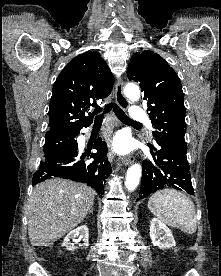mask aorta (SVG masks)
Returning <instances> with one entry per match:
<instances>
[{"mask_svg":"<svg viewBox=\"0 0 221 276\" xmlns=\"http://www.w3.org/2000/svg\"><path fill=\"white\" fill-rule=\"evenodd\" d=\"M124 93L131 101H137L140 98V90L134 84H128L124 89ZM140 177L141 166L139 164L132 165L127 171L125 187L129 191H134L139 184Z\"/></svg>","mask_w":221,"mask_h":276,"instance_id":"aorta-1","label":"aorta"}]
</instances>
